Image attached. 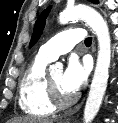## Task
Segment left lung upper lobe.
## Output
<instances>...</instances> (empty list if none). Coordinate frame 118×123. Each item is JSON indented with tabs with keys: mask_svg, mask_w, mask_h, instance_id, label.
Instances as JSON below:
<instances>
[{
	"mask_svg": "<svg viewBox=\"0 0 118 123\" xmlns=\"http://www.w3.org/2000/svg\"><path fill=\"white\" fill-rule=\"evenodd\" d=\"M92 3H99V0H89ZM51 9V6H49L47 9H45L39 16V18L37 19L35 26H34V30H33V34L31 37V41H30V47H32L39 39L40 35L42 34L45 22H46V18L47 15L49 13Z\"/></svg>",
	"mask_w": 118,
	"mask_h": 123,
	"instance_id": "obj_1",
	"label": "left lung upper lobe"
}]
</instances>
